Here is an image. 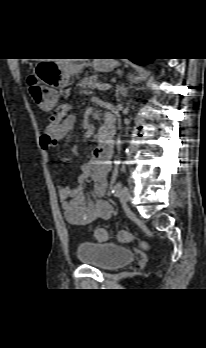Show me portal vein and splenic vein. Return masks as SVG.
Listing matches in <instances>:
<instances>
[{
	"label": "portal vein and splenic vein",
	"mask_w": 206,
	"mask_h": 348,
	"mask_svg": "<svg viewBox=\"0 0 206 348\" xmlns=\"http://www.w3.org/2000/svg\"><path fill=\"white\" fill-rule=\"evenodd\" d=\"M111 88V85L110 84H100L97 86V89L100 90V91H106V90H109Z\"/></svg>",
	"instance_id": "18ae733b"
}]
</instances>
